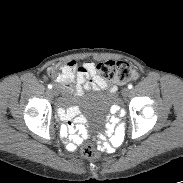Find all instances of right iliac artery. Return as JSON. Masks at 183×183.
I'll return each instance as SVG.
<instances>
[{"label": "right iliac artery", "mask_w": 183, "mask_h": 183, "mask_svg": "<svg viewBox=\"0 0 183 183\" xmlns=\"http://www.w3.org/2000/svg\"><path fill=\"white\" fill-rule=\"evenodd\" d=\"M48 88H49V89H51V88H52V85H51V84H49V85H48Z\"/></svg>", "instance_id": "82829eb1"}]
</instances>
